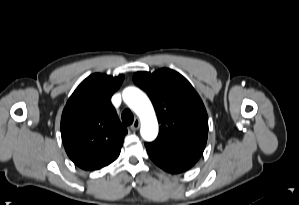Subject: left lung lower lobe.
Here are the masks:
<instances>
[{"label":"left lung lower lobe","instance_id":"0a47b994","mask_svg":"<svg viewBox=\"0 0 299 205\" xmlns=\"http://www.w3.org/2000/svg\"><path fill=\"white\" fill-rule=\"evenodd\" d=\"M152 161L172 174L184 172L195 165L206 143L181 138L156 139L145 143Z\"/></svg>","mask_w":299,"mask_h":205}]
</instances>
